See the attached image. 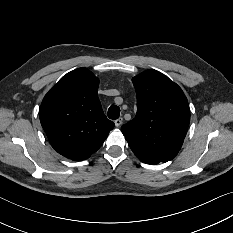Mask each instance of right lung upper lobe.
<instances>
[{"instance_id":"cb5924a9","label":"right lung upper lobe","mask_w":233,"mask_h":233,"mask_svg":"<svg viewBox=\"0 0 233 233\" xmlns=\"http://www.w3.org/2000/svg\"><path fill=\"white\" fill-rule=\"evenodd\" d=\"M98 85L91 71L78 68L62 77L41 104L40 122L49 142L73 161L89 158L114 127L101 108Z\"/></svg>"}]
</instances>
